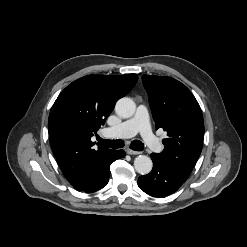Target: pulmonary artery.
<instances>
[{
    "instance_id": "pulmonary-artery-1",
    "label": "pulmonary artery",
    "mask_w": 247,
    "mask_h": 247,
    "mask_svg": "<svg viewBox=\"0 0 247 247\" xmlns=\"http://www.w3.org/2000/svg\"><path fill=\"white\" fill-rule=\"evenodd\" d=\"M104 133L106 136L115 138H128L140 133L149 149L154 152H160L163 149L160 141L152 133L148 110L145 105H139L132 118L107 128Z\"/></svg>"
}]
</instances>
